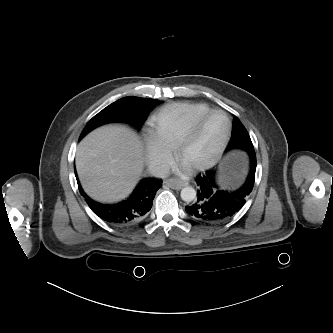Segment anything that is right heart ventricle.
<instances>
[{
	"instance_id": "e07e8e85",
	"label": "right heart ventricle",
	"mask_w": 333,
	"mask_h": 333,
	"mask_svg": "<svg viewBox=\"0 0 333 333\" xmlns=\"http://www.w3.org/2000/svg\"><path fill=\"white\" fill-rule=\"evenodd\" d=\"M210 110V106L200 102H177L166 105L152 117V133L173 150L192 122Z\"/></svg>"
}]
</instances>
